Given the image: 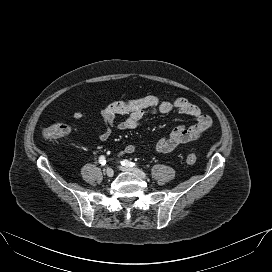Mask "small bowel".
Segmentation results:
<instances>
[{
	"instance_id": "1",
	"label": "small bowel",
	"mask_w": 272,
	"mask_h": 272,
	"mask_svg": "<svg viewBox=\"0 0 272 272\" xmlns=\"http://www.w3.org/2000/svg\"><path fill=\"white\" fill-rule=\"evenodd\" d=\"M174 110L195 118L196 123L189 127L177 126L167 136L160 138L155 144L157 152H171L180 145L197 140L212 126L211 117L204 114L200 107L184 98L168 101L148 95L126 101L112 102L102 108L100 116L104 123V129L98 134V138L102 141L107 140L113 129H136L146 114H168ZM119 115H126V117L117 122L116 118ZM72 116L76 120L87 118L86 113L79 110L74 111ZM135 151L136 146L134 144H127L122 153L132 154Z\"/></svg>"
}]
</instances>
